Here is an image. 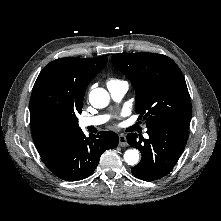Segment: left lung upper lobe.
Listing matches in <instances>:
<instances>
[{"label":"left lung upper lobe","mask_w":221,"mask_h":221,"mask_svg":"<svg viewBox=\"0 0 221 221\" xmlns=\"http://www.w3.org/2000/svg\"><path fill=\"white\" fill-rule=\"evenodd\" d=\"M135 89V110L146 127L163 122L190 125L192 106L184 76L169 57L155 53L112 56Z\"/></svg>","instance_id":"left-lung-upper-lobe-1"}]
</instances>
